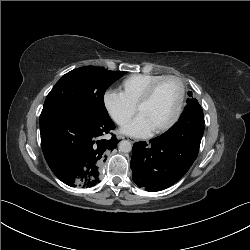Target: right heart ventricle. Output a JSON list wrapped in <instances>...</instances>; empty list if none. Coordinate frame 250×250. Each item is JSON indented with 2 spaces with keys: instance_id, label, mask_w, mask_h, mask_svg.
I'll use <instances>...</instances> for the list:
<instances>
[{
  "instance_id": "obj_1",
  "label": "right heart ventricle",
  "mask_w": 250,
  "mask_h": 250,
  "mask_svg": "<svg viewBox=\"0 0 250 250\" xmlns=\"http://www.w3.org/2000/svg\"><path fill=\"white\" fill-rule=\"evenodd\" d=\"M164 75L160 74H133L124 78L119 87L120 92L132 104L136 105L145 90Z\"/></svg>"
}]
</instances>
